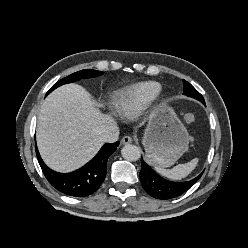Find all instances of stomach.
Returning <instances> with one entry per match:
<instances>
[{
  "label": "stomach",
  "instance_id": "stomach-1",
  "mask_svg": "<svg viewBox=\"0 0 248 248\" xmlns=\"http://www.w3.org/2000/svg\"><path fill=\"white\" fill-rule=\"evenodd\" d=\"M189 140L187 129L170 106L162 103L150 113L142 143L152 165H173L187 151Z\"/></svg>",
  "mask_w": 248,
  "mask_h": 248
}]
</instances>
